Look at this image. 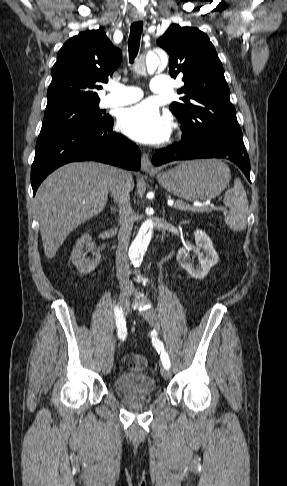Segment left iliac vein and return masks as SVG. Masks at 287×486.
Returning <instances> with one entry per match:
<instances>
[{"label": "left iliac vein", "mask_w": 287, "mask_h": 486, "mask_svg": "<svg viewBox=\"0 0 287 486\" xmlns=\"http://www.w3.org/2000/svg\"><path fill=\"white\" fill-rule=\"evenodd\" d=\"M141 315L148 321V323L156 329L160 327V319L153 308H149L141 311ZM161 375L163 378L168 379L171 377V371L169 369L163 368L161 370Z\"/></svg>", "instance_id": "1"}]
</instances>
